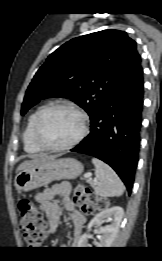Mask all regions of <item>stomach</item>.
I'll return each instance as SVG.
<instances>
[{"label": "stomach", "instance_id": "obj_1", "mask_svg": "<svg viewBox=\"0 0 162 261\" xmlns=\"http://www.w3.org/2000/svg\"><path fill=\"white\" fill-rule=\"evenodd\" d=\"M83 172V165L74 158L50 156L36 166L17 171L14 185L19 191H30L62 179H75Z\"/></svg>", "mask_w": 162, "mask_h": 261}]
</instances>
